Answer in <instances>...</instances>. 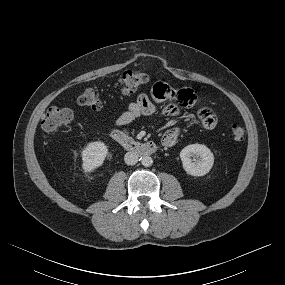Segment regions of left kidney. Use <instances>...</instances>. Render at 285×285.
Segmentation results:
<instances>
[{"mask_svg":"<svg viewBox=\"0 0 285 285\" xmlns=\"http://www.w3.org/2000/svg\"><path fill=\"white\" fill-rule=\"evenodd\" d=\"M193 157V159H192ZM184 170L192 176H204L214 164V155L203 144H191L180 152Z\"/></svg>","mask_w":285,"mask_h":285,"instance_id":"obj_1","label":"left kidney"}]
</instances>
